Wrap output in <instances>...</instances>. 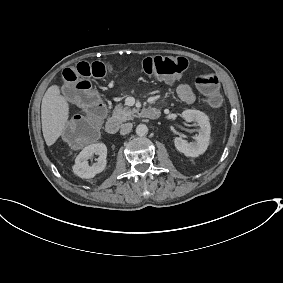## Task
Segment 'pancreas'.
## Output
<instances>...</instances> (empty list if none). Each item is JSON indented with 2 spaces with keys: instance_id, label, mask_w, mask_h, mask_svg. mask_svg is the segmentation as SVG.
<instances>
[{
  "instance_id": "pancreas-1",
  "label": "pancreas",
  "mask_w": 283,
  "mask_h": 283,
  "mask_svg": "<svg viewBox=\"0 0 283 283\" xmlns=\"http://www.w3.org/2000/svg\"><path fill=\"white\" fill-rule=\"evenodd\" d=\"M139 116L140 113L136 108L130 109L128 107H124L122 104L117 105L112 112V119L120 123L127 122Z\"/></svg>"
}]
</instances>
